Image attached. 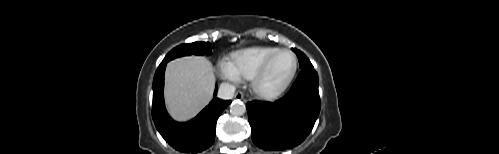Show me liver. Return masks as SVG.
<instances>
[{"label": "liver", "mask_w": 499, "mask_h": 154, "mask_svg": "<svg viewBox=\"0 0 499 154\" xmlns=\"http://www.w3.org/2000/svg\"><path fill=\"white\" fill-rule=\"evenodd\" d=\"M214 88V70L206 58L186 56L167 64L165 102L176 121L195 117L211 100Z\"/></svg>", "instance_id": "obj_1"}]
</instances>
